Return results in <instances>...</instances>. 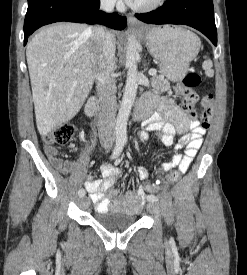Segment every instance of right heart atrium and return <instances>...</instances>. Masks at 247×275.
I'll return each instance as SVG.
<instances>
[{"label": "right heart atrium", "instance_id": "right-heart-atrium-1", "mask_svg": "<svg viewBox=\"0 0 247 275\" xmlns=\"http://www.w3.org/2000/svg\"><path fill=\"white\" fill-rule=\"evenodd\" d=\"M100 2L102 4V6L107 8V9H112V8L119 5L118 0H100Z\"/></svg>", "mask_w": 247, "mask_h": 275}]
</instances>
